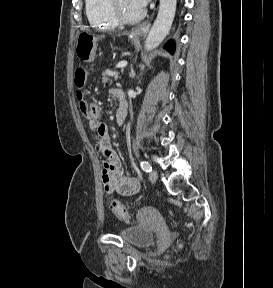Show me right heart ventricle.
I'll list each match as a JSON object with an SVG mask.
<instances>
[{"label": "right heart ventricle", "instance_id": "1", "mask_svg": "<svg viewBox=\"0 0 273 288\" xmlns=\"http://www.w3.org/2000/svg\"><path fill=\"white\" fill-rule=\"evenodd\" d=\"M86 15L92 27L111 30L118 24L111 18L107 0H85Z\"/></svg>", "mask_w": 273, "mask_h": 288}]
</instances>
